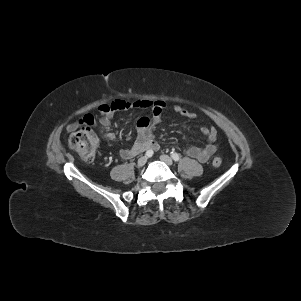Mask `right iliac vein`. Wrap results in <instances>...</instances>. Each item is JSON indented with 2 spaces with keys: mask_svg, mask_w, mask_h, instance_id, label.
Masks as SVG:
<instances>
[{
  "mask_svg": "<svg viewBox=\"0 0 301 301\" xmlns=\"http://www.w3.org/2000/svg\"><path fill=\"white\" fill-rule=\"evenodd\" d=\"M147 162V157L142 156L138 159L137 166L142 167Z\"/></svg>",
  "mask_w": 301,
  "mask_h": 301,
  "instance_id": "obj_1",
  "label": "right iliac vein"
}]
</instances>
